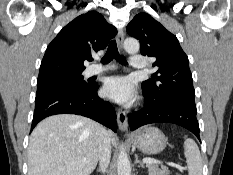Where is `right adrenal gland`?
I'll return each instance as SVG.
<instances>
[{
    "instance_id": "right-adrenal-gland-1",
    "label": "right adrenal gland",
    "mask_w": 233,
    "mask_h": 175,
    "mask_svg": "<svg viewBox=\"0 0 233 175\" xmlns=\"http://www.w3.org/2000/svg\"><path fill=\"white\" fill-rule=\"evenodd\" d=\"M101 171V169L100 168H97V172H100Z\"/></svg>"
}]
</instances>
